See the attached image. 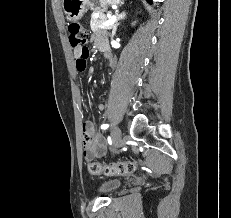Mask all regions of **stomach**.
Listing matches in <instances>:
<instances>
[{
    "label": "stomach",
    "instance_id": "1",
    "mask_svg": "<svg viewBox=\"0 0 231 218\" xmlns=\"http://www.w3.org/2000/svg\"><path fill=\"white\" fill-rule=\"evenodd\" d=\"M122 4V0H63L64 13L69 20H79L87 9L103 12L110 5Z\"/></svg>",
    "mask_w": 231,
    "mask_h": 218
}]
</instances>
